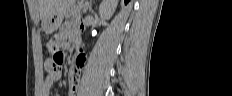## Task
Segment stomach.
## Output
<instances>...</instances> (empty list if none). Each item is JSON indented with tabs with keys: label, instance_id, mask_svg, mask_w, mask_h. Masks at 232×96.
Listing matches in <instances>:
<instances>
[{
	"label": "stomach",
	"instance_id": "obj_1",
	"mask_svg": "<svg viewBox=\"0 0 232 96\" xmlns=\"http://www.w3.org/2000/svg\"><path fill=\"white\" fill-rule=\"evenodd\" d=\"M75 0H57L49 14L46 15L42 23L46 34H51L61 25L64 14L75 4Z\"/></svg>",
	"mask_w": 232,
	"mask_h": 96
}]
</instances>
